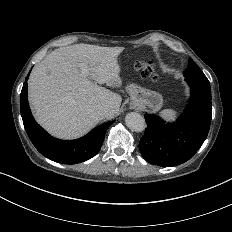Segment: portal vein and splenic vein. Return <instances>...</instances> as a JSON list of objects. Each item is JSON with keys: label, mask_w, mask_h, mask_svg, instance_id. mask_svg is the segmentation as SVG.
I'll use <instances>...</instances> for the list:
<instances>
[{"label": "portal vein and splenic vein", "mask_w": 232, "mask_h": 232, "mask_svg": "<svg viewBox=\"0 0 232 232\" xmlns=\"http://www.w3.org/2000/svg\"><path fill=\"white\" fill-rule=\"evenodd\" d=\"M79 67H80L81 73L83 75H88V73H89V66L87 64L81 63V64H79Z\"/></svg>", "instance_id": "obj_1"}]
</instances>
